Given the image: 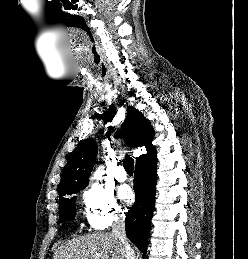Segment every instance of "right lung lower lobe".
Instances as JSON below:
<instances>
[{"instance_id":"98d812e1","label":"right lung lower lobe","mask_w":248,"mask_h":259,"mask_svg":"<svg viewBox=\"0 0 248 259\" xmlns=\"http://www.w3.org/2000/svg\"><path fill=\"white\" fill-rule=\"evenodd\" d=\"M156 154L136 160L134 191L136 200L126 216V233L130 241L146 255L151 217L155 206Z\"/></svg>"}]
</instances>
